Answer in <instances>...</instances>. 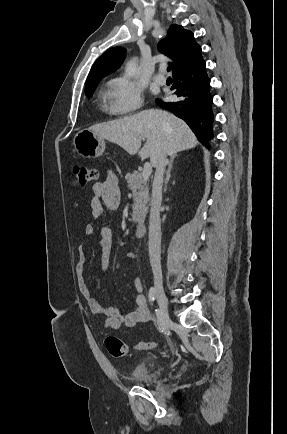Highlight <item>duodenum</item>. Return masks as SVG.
<instances>
[{"label":"duodenum","mask_w":287,"mask_h":434,"mask_svg":"<svg viewBox=\"0 0 287 434\" xmlns=\"http://www.w3.org/2000/svg\"><path fill=\"white\" fill-rule=\"evenodd\" d=\"M145 234H146V223L142 221L138 224V227L135 232V236L136 238L140 239L143 238Z\"/></svg>","instance_id":"1"}]
</instances>
